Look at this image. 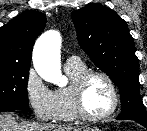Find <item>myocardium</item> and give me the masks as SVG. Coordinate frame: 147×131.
<instances>
[{
  "instance_id": "f54148a6",
  "label": "myocardium",
  "mask_w": 147,
  "mask_h": 131,
  "mask_svg": "<svg viewBox=\"0 0 147 131\" xmlns=\"http://www.w3.org/2000/svg\"><path fill=\"white\" fill-rule=\"evenodd\" d=\"M95 76L103 78L109 85L112 93L111 107L106 113L102 115L89 114L84 105L85 86L87 82ZM72 96L74 108L78 118L87 122H100L108 119L115 113L120 102L119 92L115 82L107 73L100 70H86L85 72H83L72 84Z\"/></svg>"
}]
</instances>
